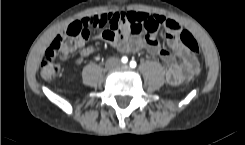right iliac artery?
I'll return each instance as SVG.
<instances>
[{
    "label": "right iliac artery",
    "mask_w": 245,
    "mask_h": 145,
    "mask_svg": "<svg viewBox=\"0 0 245 145\" xmlns=\"http://www.w3.org/2000/svg\"><path fill=\"white\" fill-rule=\"evenodd\" d=\"M127 61H128V58L126 56L122 57V62L123 63H127Z\"/></svg>",
    "instance_id": "1"
}]
</instances>
